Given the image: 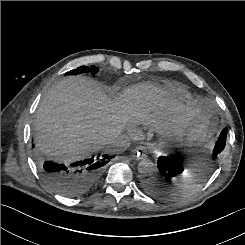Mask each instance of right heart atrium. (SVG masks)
<instances>
[{
  "label": "right heart atrium",
  "mask_w": 245,
  "mask_h": 245,
  "mask_svg": "<svg viewBox=\"0 0 245 245\" xmlns=\"http://www.w3.org/2000/svg\"><path fill=\"white\" fill-rule=\"evenodd\" d=\"M133 130H134L133 128L130 129L131 132H133Z\"/></svg>",
  "instance_id": "d8ad5b80"
}]
</instances>
